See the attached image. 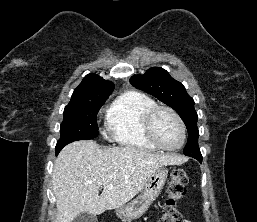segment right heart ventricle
<instances>
[{
	"instance_id": "1",
	"label": "right heart ventricle",
	"mask_w": 257,
	"mask_h": 222,
	"mask_svg": "<svg viewBox=\"0 0 257 222\" xmlns=\"http://www.w3.org/2000/svg\"><path fill=\"white\" fill-rule=\"evenodd\" d=\"M148 95L128 91L117 97L106 113L107 128L111 137L121 146L143 151H156L144 132V118L156 106Z\"/></svg>"
}]
</instances>
